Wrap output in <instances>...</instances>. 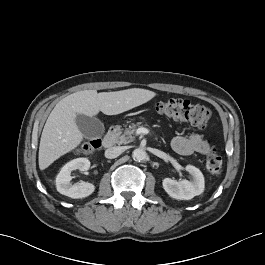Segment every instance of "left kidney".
I'll return each instance as SVG.
<instances>
[{
	"label": "left kidney",
	"instance_id": "left-kidney-1",
	"mask_svg": "<svg viewBox=\"0 0 265 265\" xmlns=\"http://www.w3.org/2000/svg\"><path fill=\"white\" fill-rule=\"evenodd\" d=\"M185 169L192 176L191 181L182 180L177 182L165 178L162 182L164 190L172 198L190 200L204 191L205 181L202 172L193 165H187Z\"/></svg>",
	"mask_w": 265,
	"mask_h": 265
}]
</instances>
